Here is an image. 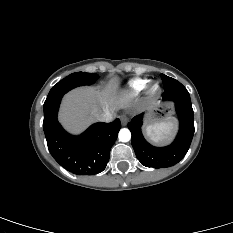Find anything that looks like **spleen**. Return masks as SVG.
<instances>
[{"label":"spleen","instance_id":"1","mask_svg":"<svg viewBox=\"0 0 233 233\" xmlns=\"http://www.w3.org/2000/svg\"><path fill=\"white\" fill-rule=\"evenodd\" d=\"M176 129V121L174 118H168L166 121L149 125L145 129V133L150 141L159 144L168 140Z\"/></svg>","mask_w":233,"mask_h":233}]
</instances>
